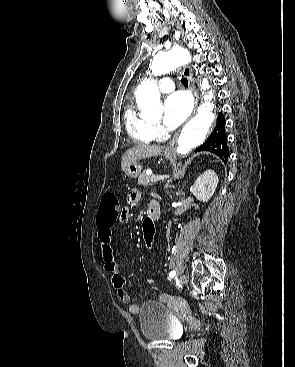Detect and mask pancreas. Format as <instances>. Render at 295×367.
Instances as JSON below:
<instances>
[{"label":"pancreas","mask_w":295,"mask_h":367,"mask_svg":"<svg viewBox=\"0 0 295 367\" xmlns=\"http://www.w3.org/2000/svg\"><path fill=\"white\" fill-rule=\"evenodd\" d=\"M154 175L152 174H146L145 172H143L139 177H138V184L139 185H143V186H147V185H152L154 182L151 178ZM164 180V179H162Z\"/></svg>","instance_id":"pancreas-1"}]
</instances>
